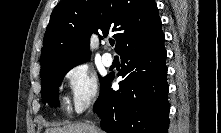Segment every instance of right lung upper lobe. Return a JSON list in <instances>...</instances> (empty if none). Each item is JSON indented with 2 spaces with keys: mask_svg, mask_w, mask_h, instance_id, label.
<instances>
[{
  "mask_svg": "<svg viewBox=\"0 0 221 133\" xmlns=\"http://www.w3.org/2000/svg\"><path fill=\"white\" fill-rule=\"evenodd\" d=\"M115 32L116 51L163 34L154 0H63L54 8L41 52V71L50 65L89 60L93 32ZM102 38V37H101Z\"/></svg>",
  "mask_w": 221,
  "mask_h": 133,
  "instance_id": "1",
  "label": "right lung upper lobe"
}]
</instances>
